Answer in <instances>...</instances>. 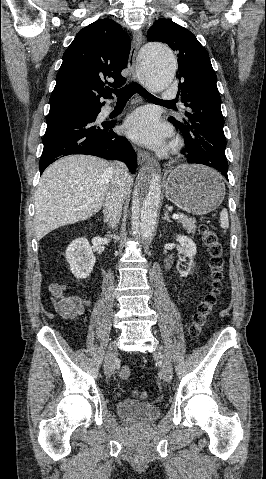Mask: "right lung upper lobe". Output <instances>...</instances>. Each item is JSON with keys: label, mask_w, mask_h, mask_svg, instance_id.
I'll return each mask as SVG.
<instances>
[{"label": "right lung upper lobe", "mask_w": 266, "mask_h": 479, "mask_svg": "<svg viewBox=\"0 0 266 479\" xmlns=\"http://www.w3.org/2000/svg\"><path fill=\"white\" fill-rule=\"evenodd\" d=\"M129 52V36L111 19H99L81 29L63 54L50 111L102 106L100 97H111L107 79H114L108 83L111 87L125 84L121 71Z\"/></svg>", "instance_id": "right-lung-upper-lobe-1"}]
</instances>
